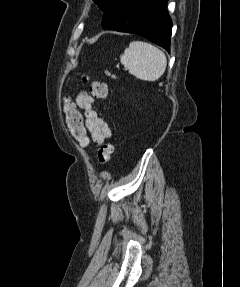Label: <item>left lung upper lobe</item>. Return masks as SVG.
<instances>
[{
  "mask_svg": "<svg viewBox=\"0 0 240 287\" xmlns=\"http://www.w3.org/2000/svg\"><path fill=\"white\" fill-rule=\"evenodd\" d=\"M93 1L98 5V7L101 10H104V8H105V6L109 0H93Z\"/></svg>",
  "mask_w": 240,
  "mask_h": 287,
  "instance_id": "left-lung-upper-lobe-1",
  "label": "left lung upper lobe"
}]
</instances>
